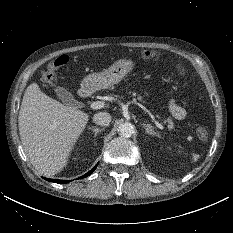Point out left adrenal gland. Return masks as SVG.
Returning a JSON list of instances; mask_svg holds the SVG:
<instances>
[{
    "label": "left adrenal gland",
    "mask_w": 233,
    "mask_h": 233,
    "mask_svg": "<svg viewBox=\"0 0 233 233\" xmlns=\"http://www.w3.org/2000/svg\"><path fill=\"white\" fill-rule=\"evenodd\" d=\"M143 127L146 130V134L152 135V136H156V137H160L159 133L155 132L152 125L151 124H146L143 123Z\"/></svg>",
    "instance_id": "obj_1"
}]
</instances>
